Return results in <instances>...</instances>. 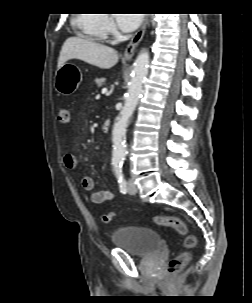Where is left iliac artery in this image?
I'll list each match as a JSON object with an SVG mask.
<instances>
[{"instance_id": "1", "label": "left iliac artery", "mask_w": 252, "mask_h": 303, "mask_svg": "<svg viewBox=\"0 0 252 303\" xmlns=\"http://www.w3.org/2000/svg\"><path fill=\"white\" fill-rule=\"evenodd\" d=\"M113 170H114L115 176L119 183L120 192L125 194L127 189H126V181H125L124 175L122 173V167L114 166Z\"/></svg>"}]
</instances>
